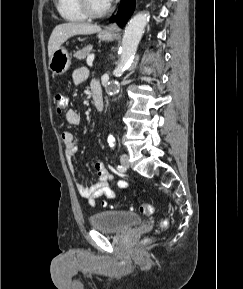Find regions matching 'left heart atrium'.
I'll return each mask as SVG.
<instances>
[{
	"instance_id": "1",
	"label": "left heart atrium",
	"mask_w": 243,
	"mask_h": 289,
	"mask_svg": "<svg viewBox=\"0 0 243 289\" xmlns=\"http://www.w3.org/2000/svg\"><path fill=\"white\" fill-rule=\"evenodd\" d=\"M104 1L109 5L113 0H104Z\"/></svg>"
}]
</instances>
